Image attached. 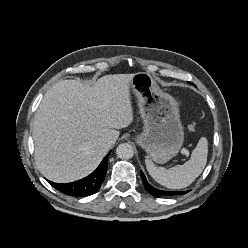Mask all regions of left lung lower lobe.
<instances>
[{"label":"left lung lower lobe","mask_w":248,"mask_h":248,"mask_svg":"<svg viewBox=\"0 0 248 248\" xmlns=\"http://www.w3.org/2000/svg\"><path fill=\"white\" fill-rule=\"evenodd\" d=\"M141 178L144 184L145 189L153 196L155 197H161V196H173V195H180V194H185L188 191H164V190H159L154 187H152L146 180V177L144 173L141 171Z\"/></svg>","instance_id":"1"}]
</instances>
